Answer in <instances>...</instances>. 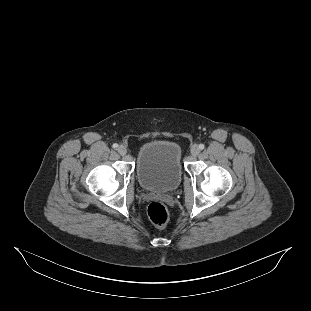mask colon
<instances>
[{"label": "colon", "instance_id": "5ec220e1", "mask_svg": "<svg viewBox=\"0 0 311 311\" xmlns=\"http://www.w3.org/2000/svg\"><path fill=\"white\" fill-rule=\"evenodd\" d=\"M150 220L158 227H164L169 221L167 207L160 202H152L148 207Z\"/></svg>", "mask_w": 311, "mask_h": 311}]
</instances>
